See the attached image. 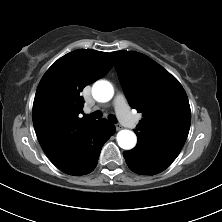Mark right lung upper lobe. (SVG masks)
<instances>
[{"mask_svg": "<svg viewBox=\"0 0 222 222\" xmlns=\"http://www.w3.org/2000/svg\"><path fill=\"white\" fill-rule=\"evenodd\" d=\"M113 67L106 52L79 49L58 59L43 75L33 103V124L49 159L63 172L76 167L87 152L97 121L80 118V92Z\"/></svg>", "mask_w": 222, "mask_h": 222, "instance_id": "1", "label": "right lung upper lobe"}]
</instances>
